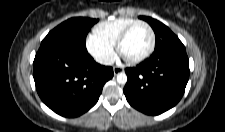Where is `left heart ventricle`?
I'll use <instances>...</instances> for the list:
<instances>
[{"label": "left heart ventricle", "mask_w": 225, "mask_h": 132, "mask_svg": "<svg viewBox=\"0 0 225 132\" xmlns=\"http://www.w3.org/2000/svg\"><path fill=\"white\" fill-rule=\"evenodd\" d=\"M150 44V33L147 27H135L121 47V55L126 59H134L146 52Z\"/></svg>", "instance_id": "b2bd125f"}]
</instances>
